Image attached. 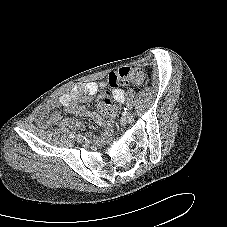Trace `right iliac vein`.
I'll use <instances>...</instances> for the list:
<instances>
[{"label": "right iliac vein", "mask_w": 227, "mask_h": 227, "mask_svg": "<svg viewBox=\"0 0 227 227\" xmlns=\"http://www.w3.org/2000/svg\"><path fill=\"white\" fill-rule=\"evenodd\" d=\"M75 139L79 143H82L84 141V137L82 135H77Z\"/></svg>", "instance_id": "63e3f726"}]
</instances>
